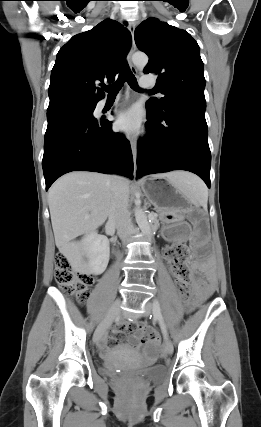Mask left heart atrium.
Here are the masks:
<instances>
[{
    "label": "left heart atrium",
    "instance_id": "39dd6f15",
    "mask_svg": "<svg viewBox=\"0 0 261 427\" xmlns=\"http://www.w3.org/2000/svg\"><path fill=\"white\" fill-rule=\"evenodd\" d=\"M114 125L117 130L129 137H137L144 131L141 112L137 107L118 113Z\"/></svg>",
    "mask_w": 261,
    "mask_h": 427
}]
</instances>
